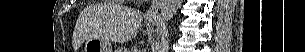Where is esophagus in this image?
I'll return each mask as SVG.
<instances>
[{
	"instance_id": "34e87169",
	"label": "esophagus",
	"mask_w": 305,
	"mask_h": 52,
	"mask_svg": "<svg viewBox=\"0 0 305 52\" xmlns=\"http://www.w3.org/2000/svg\"><path fill=\"white\" fill-rule=\"evenodd\" d=\"M161 4V0H153L149 9L145 14L147 20H155L158 17V10Z\"/></svg>"
}]
</instances>
